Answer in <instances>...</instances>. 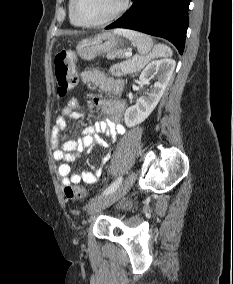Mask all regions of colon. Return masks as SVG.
<instances>
[{
    "mask_svg": "<svg viewBox=\"0 0 233 284\" xmlns=\"http://www.w3.org/2000/svg\"><path fill=\"white\" fill-rule=\"evenodd\" d=\"M172 54L171 49L165 44H157L145 55H135L134 57L116 64L111 68L112 74L124 76L135 73L156 58H168ZM76 54L71 50L60 51L54 60L57 91L60 97H65L78 82V75L75 69ZM65 196L69 199L86 197L87 192L80 186H66Z\"/></svg>",
    "mask_w": 233,
    "mask_h": 284,
    "instance_id": "1",
    "label": "colon"
}]
</instances>
